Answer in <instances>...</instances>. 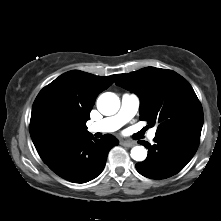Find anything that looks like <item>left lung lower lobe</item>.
I'll return each mask as SVG.
<instances>
[{
	"label": "left lung lower lobe",
	"instance_id": "left-lung-lower-lobe-1",
	"mask_svg": "<svg viewBox=\"0 0 221 221\" xmlns=\"http://www.w3.org/2000/svg\"><path fill=\"white\" fill-rule=\"evenodd\" d=\"M201 132L174 131L156 135L155 144L139 141L148 149L147 158L136 164L137 171L151 179H165L177 174L194 156Z\"/></svg>",
	"mask_w": 221,
	"mask_h": 221
}]
</instances>
